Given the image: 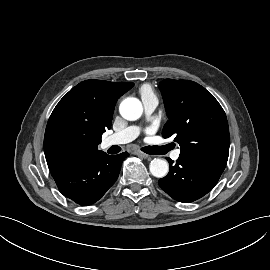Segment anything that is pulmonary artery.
Wrapping results in <instances>:
<instances>
[{
  "label": "pulmonary artery",
  "mask_w": 270,
  "mask_h": 270,
  "mask_svg": "<svg viewBox=\"0 0 270 270\" xmlns=\"http://www.w3.org/2000/svg\"><path fill=\"white\" fill-rule=\"evenodd\" d=\"M143 106L145 113L147 117L149 118L151 114L155 111L156 107L158 106V99L156 96H148L142 98ZM141 133V129L138 126H128L119 132H116L112 135H110L106 139V145H119V144H125L128 142L133 141L136 139ZM180 156V149H176L172 153V159L177 160Z\"/></svg>",
  "instance_id": "1"
}]
</instances>
